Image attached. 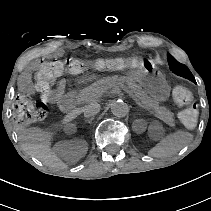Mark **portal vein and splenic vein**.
Here are the masks:
<instances>
[{
  "label": "portal vein and splenic vein",
  "mask_w": 211,
  "mask_h": 211,
  "mask_svg": "<svg viewBox=\"0 0 211 211\" xmlns=\"http://www.w3.org/2000/svg\"><path fill=\"white\" fill-rule=\"evenodd\" d=\"M118 86L120 88H125V91L128 92L129 97L133 98L132 91H130V87L128 85H126V84L123 85L122 83H120ZM137 106L142 107V109H146V106H143V104H141V103H137Z\"/></svg>",
  "instance_id": "portal-vein-and-splenic-vein-1"
}]
</instances>
